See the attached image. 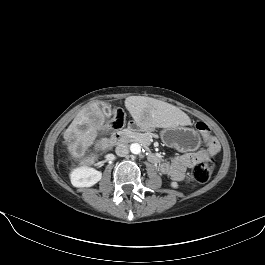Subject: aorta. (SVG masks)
<instances>
[{
	"label": "aorta",
	"instance_id": "1",
	"mask_svg": "<svg viewBox=\"0 0 265 265\" xmlns=\"http://www.w3.org/2000/svg\"><path fill=\"white\" fill-rule=\"evenodd\" d=\"M141 145L140 144H138V143H132L131 145H130V151L133 153V154H136V155H138V154H140L141 153Z\"/></svg>",
	"mask_w": 265,
	"mask_h": 265
}]
</instances>
